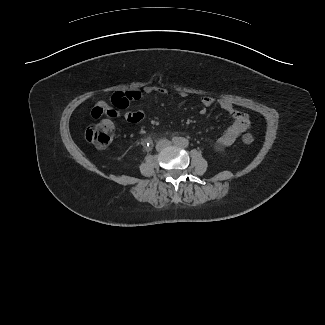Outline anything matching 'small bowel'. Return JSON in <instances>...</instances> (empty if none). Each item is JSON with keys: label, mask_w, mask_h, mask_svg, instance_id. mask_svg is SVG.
<instances>
[{"label": "small bowel", "mask_w": 325, "mask_h": 325, "mask_svg": "<svg viewBox=\"0 0 325 325\" xmlns=\"http://www.w3.org/2000/svg\"><path fill=\"white\" fill-rule=\"evenodd\" d=\"M146 94H166V90L159 86H148L143 90L130 91L128 93H117L113 97V106L107 104L104 101L98 102L92 109V117L99 118L105 114L112 119L123 118L130 123H138L144 118V113L141 109H135L133 111L124 112L127 110L131 101H139ZM182 97H186L185 92L181 93ZM201 103L204 107H210L215 103L225 110L233 119L232 124L224 131V133L218 138L217 144L221 147H227L232 145L249 127L248 116L237 110L229 101L224 99H215L211 96H203ZM205 110H202L204 113Z\"/></svg>", "instance_id": "obj_1"}]
</instances>
